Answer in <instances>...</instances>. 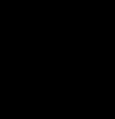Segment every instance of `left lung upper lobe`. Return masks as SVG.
I'll list each match as a JSON object with an SVG mask.
<instances>
[{
    "instance_id": "obj_1",
    "label": "left lung upper lobe",
    "mask_w": 115,
    "mask_h": 119,
    "mask_svg": "<svg viewBox=\"0 0 115 119\" xmlns=\"http://www.w3.org/2000/svg\"><path fill=\"white\" fill-rule=\"evenodd\" d=\"M89 15L98 23V42L91 54V62L103 75H115V15L95 10Z\"/></svg>"
}]
</instances>
